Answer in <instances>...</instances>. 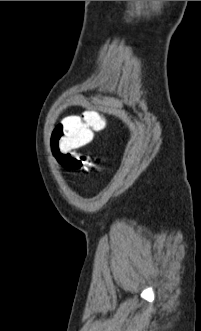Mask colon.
Listing matches in <instances>:
<instances>
[{"label":"colon","mask_w":201,"mask_h":331,"mask_svg":"<svg viewBox=\"0 0 201 331\" xmlns=\"http://www.w3.org/2000/svg\"><path fill=\"white\" fill-rule=\"evenodd\" d=\"M105 128V119L95 111L63 118L55 126L51 136L52 151L59 163L70 171L87 170L90 166L89 158L73 154L71 150L89 144L94 132Z\"/></svg>","instance_id":"5ec220e1"}]
</instances>
